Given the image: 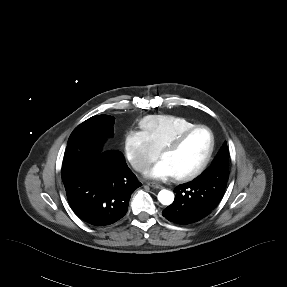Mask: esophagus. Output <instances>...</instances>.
Listing matches in <instances>:
<instances>
[{"instance_id":"obj_1","label":"esophagus","mask_w":287,"mask_h":287,"mask_svg":"<svg viewBox=\"0 0 287 287\" xmlns=\"http://www.w3.org/2000/svg\"><path fill=\"white\" fill-rule=\"evenodd\" d=\"M148 185L154 189H162L163 188L161 185H158L155 183H148Z\"/></svg>"}]
</instances>
